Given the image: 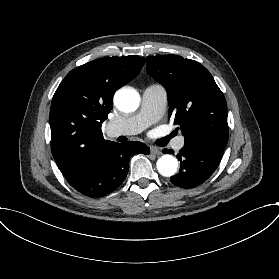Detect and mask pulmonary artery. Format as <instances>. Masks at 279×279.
Returning a JSON list of instances; mask_svg holds the SVG:
<instances>
[{"label": "pulmonary artery", "instance_id": "1", "mask_svg": "<svg viewBox=\"0 0 279 279\" xmlns=\"http://www.w3.org/2000/svg\"><path fill=\"white\" fill-rule=\"evenodd\" d=\"M167 90L161 83H153L142 94L141 109L137 114L117 115L111 123L112 131L120 137H134L151 124L158 121L165 112L167 105ZM184 137H178L177 148H181Z\"/></svg>", "mask_w": 279, "mask_h": 279}]
</instances>
